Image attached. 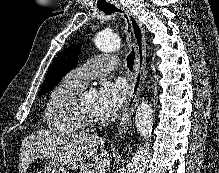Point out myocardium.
<instances>
[{
  "label": "myocardium",
  "instance_id": "obj_1",
  "mask_svg": "<svg viewBox=\"0 0 219 173\" xmlns=\"http://www.w3.org/2000/svg\"><path fill=\"white\" fill-rule=\"evenodd\" d=\"M84 93L80 92L73 100L72 112L76 121L81 124L84 128L92 129L101 125L100 120L89 117L82 107V97Z\"/></svg>",
  "mask_w": 219,
  "mask_h": 173
}]
</instances>
